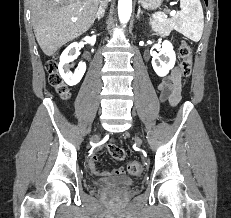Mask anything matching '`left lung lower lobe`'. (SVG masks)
Masks as SVG:
<instances>
[{
  "mask_svg": "<svg viewBox=\"0 0 231 218\" xmlns=\"http://www.w3.org/2000/svg\"><path fill=\"white\" fill-rule=\"evenodd\" d=\"M205 2H206V4H207L208 0H205Z\"/></svg>",
  "mask_w": 231,
  "mask_h": 218,
  "instance_id": "left-lung-lower-lobe-1",
  "label": "left lung lower lobe"
}]
</instances>
